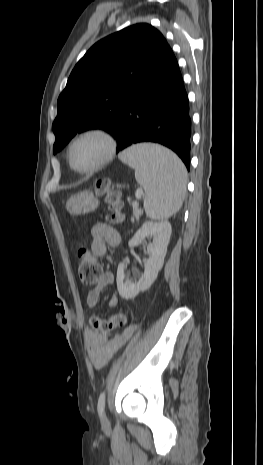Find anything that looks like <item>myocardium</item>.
<instances>
[{"label":"myocardium","mask_w":263,"mask_h":465,"mask_svg":"<svg viewBox=\"0 0 263 465\" xmlns=\"http://www.w3.org/2000/svg\"><path fill=\"white\" fill-rule=\"evenodd\" d=\"M96 135L103 138L107 143V150L104 156L92 167L88 169H79L77 168L72 161V149L75 143L87 136ZM117 150V140L112 132L109 130L102 128V127H91L87 128L77 135H75L72 140L70 141L68 148H67V158L70 167L77 173L81 174H91L97 172L101 168H103L106 164H108L115 156Z\"/></svg>","instance_id":"f54148a6"}]
</instances>
